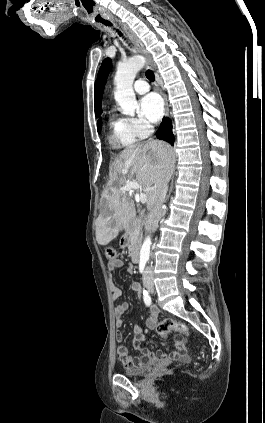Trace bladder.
Wrapping results in <instances>:
<instances>
[{
	"instance_id": "obj_1",
	"label": "bladder",
	"mask_w": 265,
	"mask_h": 423,
	"mask_svg": "<svg viewBox=\"0 0 265 423\" xmlns=\"http://www.w3.org/2000/svg\"><path fill=\"white\" fill-rule=\"evenodd\" d=\"M150 367V363H145L142 364L139 367H126L123 369V373L127 376H139L141 374H143L144 372H146Z\"/></svg>"
}]
</instances>
